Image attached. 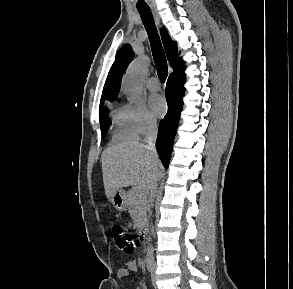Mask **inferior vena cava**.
I'll list each match as a JSON object with an SVG mask.
<instances>
[{"mask_svg":"<svg viewBox=\"0 0 293 289\" xmlns=\"http://www.w3.org/2000/svg\"><path fill=\"white\" fill-rule=\"evenodd\" d=\"M157 133H158V128L157 124L155 121H152L148 124L145 137H144V142L146 143V148L154 155L155 159L158 160V155L156 152L155 148V143L157 139ZM157 188V181L153 185V188L150 191V198H153L156 192ZM153 233V230H152Z\"/></svg>","mask_w":293,"mask_h":289,"instance_id":"1","label":"inferior vena cava"}]
</instances>
